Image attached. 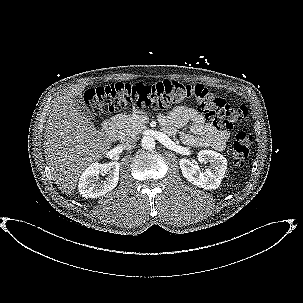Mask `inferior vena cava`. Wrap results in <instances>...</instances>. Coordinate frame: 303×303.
Listing matches in <instances>:
<instances>
[{"mask_svg":"<svg viewBox=\"0 0 303 303\" xmlns=\"http://www.w3.org/2000/svg\"><path fill=\"white\" fill-rule=\"evenodd\" d=\"M122 143L125 145L126 149H131L135 146L136 138L133 135H125L121 137Z\"/></svg>","mask_w":303,"mask_h":303,"instance_id":"602c4592","label":"inferior vena cava"}]
</instances>
